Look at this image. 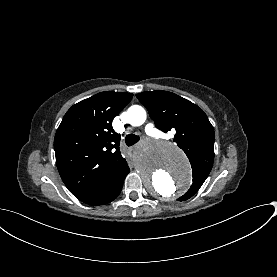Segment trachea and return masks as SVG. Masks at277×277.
Wrapping results in <instances>:
<instances>
[{"label":"trachea","instance_id":"3493384b","mask_svg":"<svg viewBox=\"0 0 277 277\" xmlns=\"http://www.w3.org/2000/svg\"><path fill=\"white\" fill-rule=\"evenodd\" d=\"M140 140V137L135 134H129L125 137V143L127 146H132Z\"/></svg>","mask_w":277,"mask_h":277}]
</instances>
